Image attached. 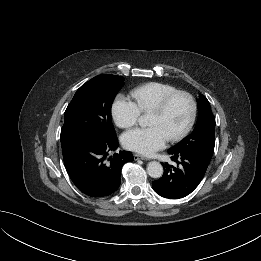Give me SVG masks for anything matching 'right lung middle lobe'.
Returning <instances> with one entry per match:
<instances>
[{"label":"right lung middle lobe","instance_id":"obj_1","mask_svg":"<svg viewBox=\"0 0 261 261\" xmlns=\"http://www.w3.org/2000/svg\"><path fill=\"white\" fill-rule=\"evenodd\" d=\"M123 85L122 76L98 75L76 91L65 111L60 137L62 149L83 140L116 136L111 121V106Z\"/></svg>","mask_w":261,"mask_h":261}]
</instances>
